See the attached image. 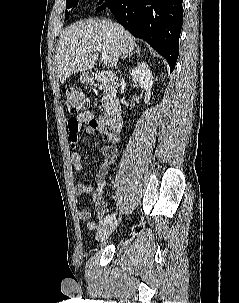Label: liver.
I'll use <instances>...</instances> for the list:
<instances>
[{
    "instance_id": "obj_1",
    "label": "liver",
    "mask_w": 239,
    "mask_h": 303,
    "mask_svg": "<svg viewBox=\"0 0 239 303\" xmlns=\"http://www.w3.org/2000/svg\"><path fill=\"white\" fill-rule=\"evenodd\" d=\"M103 47L111 58V66L117 64L121 54L136 49L135 38L124 27L108 20H86L71 26L58 43L57 65L61 83L74 73L92 69L98 59L96 51L84 53L89 47Z\"/></svg>"
}]
</instances>
